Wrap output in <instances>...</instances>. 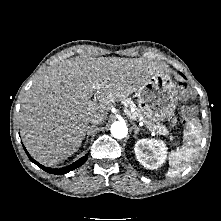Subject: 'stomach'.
<instances>
[{
	"instance_id": "0dacf381",
	"label": "stomach",
	"mask_w": 221,
	"mask_h": 221,
	"mask_svg": "<svg viewBox=\"0 0 221 221\" xmlns=\"http://www.w3.org/2000/svg\"><path fill=\"white\" fill-rule=\"evenodd\" d=\"M138 107L147 124L164 121L174 114L178 100L176 84L166 73L156 74L138 91Z\"/></svg>"
}]
</instances>
